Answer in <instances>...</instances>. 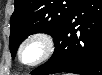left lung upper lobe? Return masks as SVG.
I'll use <instances>...</instances> for the list:
<instances>
[{
    "label": "left lung upper lobe",
    "mask_w": 102,
    "mask_h": 75,
    "mask_svg": "<svg viewBox=\"0 0 102 75\" xmlns=\"http://www.w3.org/2000/svg\"><path fill=\"white\" fill-rule=\"evenodd\" d=\"M81 0H15L10 19L9 48L15 57L20 43L34 33L55 36L58 28Z\"/></svg>",
    "instance_id": "obj_1"
}]
</instances>
